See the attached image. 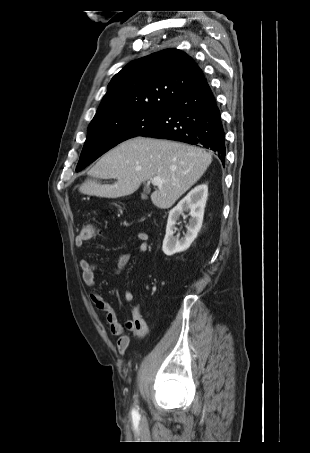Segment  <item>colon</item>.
<instances>
[{"label": "colon", "instance_id": "colon-1", "mask_svg": "<svg viewBox=\"0 0 310 453\" xmlns=\"http://www.w3.org/2000/svg\"><path fill=\"white\" fill-rule=\"evenodd\" d=\"M98 229L97 226L93 223H87L82 228V236L84 238H91L97 233Z\"/></svg>", "mask_w": 310, "mask_h": 453}]
</instances>
